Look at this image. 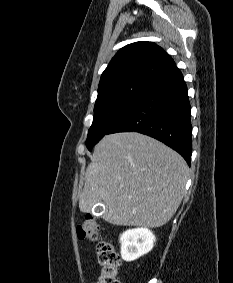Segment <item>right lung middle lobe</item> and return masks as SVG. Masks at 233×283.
Wrapping results in <instances>:
<instances>
[{
    "label": "right lung middle lobe",
    "instance_id": "right-lung-middle-lobe-1",
    "mask_svg": "<svg viewBox=\"0 0 233 283\" xmlns=\"http://www.w3.org/2000/svg\"><path fill=\"white\" fill-rule=\"evenodd\" d=\"M150 81L130 80L98 91L93 123L88 131L86 146L89 151L108 134L111 127L128 110Z\"/></svg>",
    "mask_w": 233,
    "mask_h": 283
}]
</instances>
